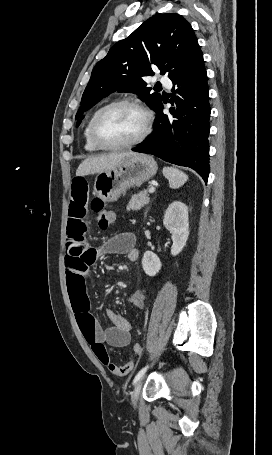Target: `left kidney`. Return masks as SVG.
<instances>
[{
    "mask_svg": "<svg viewBox=\"0 0 272 455\" xmlns=\"http://www.w3.org/2000/svg\"><path fill=\"white\" fill-rule=\"evenodd\" d=\"M163 224L172 234L171 254L176 256L186 245L189 236L187 206L180 201L171 203L164 214ZM142 266L148 276H155L162 264L156 254L146 251L142 258Z\"/></svg>",
    "mask_w": 272,
    "mask_h": 455,
    "instance_id": "obj_1",
    "label": "left kidney"
}]
</instances>
